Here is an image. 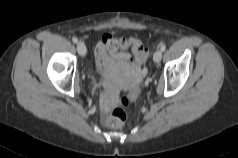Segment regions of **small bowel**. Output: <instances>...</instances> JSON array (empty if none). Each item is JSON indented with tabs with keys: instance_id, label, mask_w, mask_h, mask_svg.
<instances>
[{
	"instance_id": "c3829d8e",
	"label": "small bowel",
	"mask_w": 238,
	"mask_h": 158,
	"mask_svg": "<svg viewBox=\"0 0 238 158\" xmlns=\"http://www.w3.org/2000/svg\"><path fill=\"white\" fill-rule=\"evenodd\" d=\"M116 40L117 39L114 36L104 34L101 40L97 43L94 55L96 67L99 70L106 71L116 63H120L127 67L134 66L130 54L121 52L115 48L114 44ZM101 102L104 109L108 110L113 103V98L111 95H105L102 97Z\"/></svg>"
}]
</instances>
